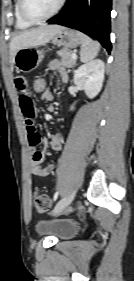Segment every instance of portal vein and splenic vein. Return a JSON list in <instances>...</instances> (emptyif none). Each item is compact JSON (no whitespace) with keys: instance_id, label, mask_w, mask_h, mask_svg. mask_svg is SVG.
<instances>
[{"instance_id":"portal-vein-and-splenic-vein-1","label":"portal vein and splenic vein","mask_w":134,"mask_h":281,"mask_svg":"<svg viewBox=\"0 0 134 281\" xmlns=\"http://www.w3.org/2000/svg\"><path fill=\"white\" fill-rule=\"evenodd\" d=\"M72 59H74V60L77 59V55L75 53L72 54Z\"/></svg>"}]
</instances>
